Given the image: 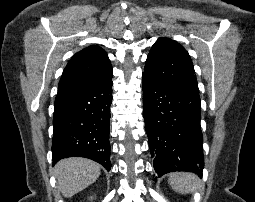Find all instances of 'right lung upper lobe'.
Listing matches in <instances>:
<instances>
[{"label":"right lung upper lobe","instance_id":"obj_1","mask_svg":"<svg viewBox=\"0 0 255 202\" xmlns=\"http://www.w3.org/2000/svg\"><path fill=\"white\" fill-rule=\"evenodd\" d=\"M112 79V67L107 53L92 45L77 52L65 67L58 93L94 87Z\"/></svg>","mask_w":255,"mask_h":202}]
</instances>
